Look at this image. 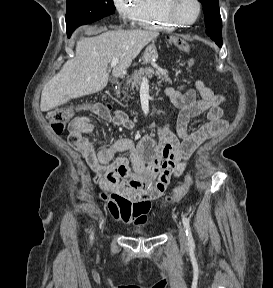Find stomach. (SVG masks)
<instances>
[{
    "label": "stomach",
    "instance_id": "1",
    "mask_svg": "<svg viewBox=\"0 0 273 288\" xmlns=\"http://www.w3.org/2000/svg\"><path fill=\"white\" fill-rule=\"evenodd\" d=\"M158 58V51H157V47L154 44V42H152L150 45H148L144 51L143 54V63L144 64H148V63H152L154 62L156 59Z\"/></svg>",
    "mask_w": 273,
    "mask_h": 288
}]
</instances>
